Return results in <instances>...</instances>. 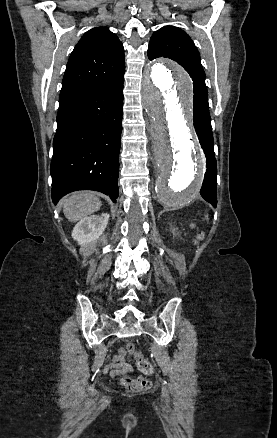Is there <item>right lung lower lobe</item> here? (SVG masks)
I'll list each match as a JSON object with an SVG mask.
<instances>
[{"label": "right lung lower lobe", "instance_id": "obj_1", "mask_svg": "<svg viewBox=\"0 0 277 438\" xmlns=\"http://www.w3.org/2000/svg\"><path fill=\"white\" fill-rule=\"evenodd\" d=\"M124 73L59 101L51 161L52 200L76 190L118 197Z\"/></svg>", "mask_w": 277, "mask_h": 438}]
</instances>
